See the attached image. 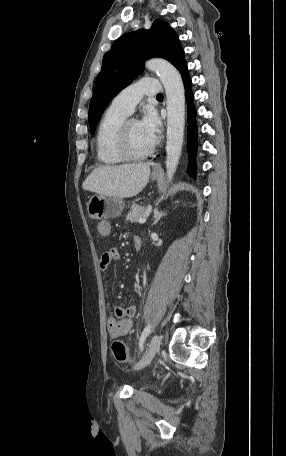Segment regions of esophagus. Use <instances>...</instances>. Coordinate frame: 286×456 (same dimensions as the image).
I'll list each match as a JSON object with an SVG mask.
<instances>
[{"mask_svg":"<svg viewBox=\"0 0 286 456\" xmlns=\"http://www.w3.org/2000/svg\"><path fill=\"white\" fill-rule=\"evenodd\" d=\"M153 171H154V172H160V171H162V168H161L160 163H157V164L154 165Z\"/></svg>","mask_w":286,"mask_h":456,"instance_id":"esophagus-1","label":"esophagus"}]
</instances>
